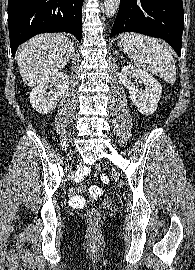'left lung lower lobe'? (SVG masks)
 Masks as SVG:
<instances>
[{
    "label": "left lung lower lobe",
    "instance_id": "left-lung-lower-lobe-1",
    "mask_svg": "<svg viewBox=\"0 0 195 270\" xmlns=\"http://www.w3.org/2000/svg\"><path fill=\"white\" fill-rule=\"evenodd\" d=\"M183 25L182 0H120L110 37L131 31L161 38L180 56Z\"/></svg>",
    "mask_w": 195,
    "mask_h": 270
}]
</instances>
